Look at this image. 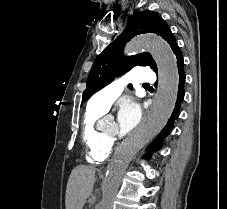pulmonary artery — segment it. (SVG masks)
<instances>
[{
    "instance_id": "1",
    "label": "pulmonary artery",
    "mask_w": 227,
    "mask_h": 209,
    "mask_svg": "<svg viewBox=\"0 0 227 209\" xmlns=\"http://www.w3.org/2000/svg\"><path fill=\"white\" fill-rule=\"evenodd\" d=\"M133 83H154L156 73L152 70H147L146 66L136 67V70L130 71ZM125 83H130V78L124 79ZM124 83L121 79H114L108 85L107 88H99V91H95V95H90L88 105H94L97 108L107 109L111 102L122 92Z\"/></svg>"
}]
</instances>
